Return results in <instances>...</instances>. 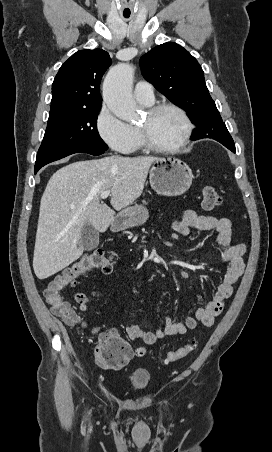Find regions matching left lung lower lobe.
I'll use <instances>...</instances> for the list:
<instances>
[{"instance_id": "0a47b994", "label": "left lung lower lobe", "mask_w": 272, "mask_h": 452, "mask_svg": "<svg viewBox=\"0 0 272 452\" xmlns=\"http://www.w3.org/2000/svg\"><path fill=\"white\" fill-rule=\"evenodd\" d=\"M191 139L192 140H197V139H200V138H198V137H191ZM233 139H232V137H230V138H228V137H225V138H222V139H219V140H217L218 142H220L221 144H223L225 147H227L228 149H230L232 152H235L236 150L234 149V148H232L231 147V141H232ZM234 143V142H233Z\"/></svg>"}]
</instances>
